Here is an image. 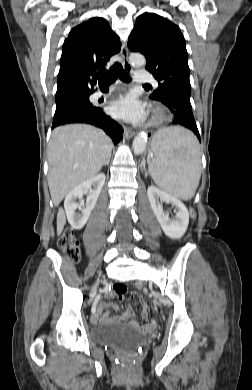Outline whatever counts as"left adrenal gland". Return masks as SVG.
<instances>
[{
  "instance_id": "left-adrenal-gland-1",
  "label": "left adrenal gland",
  "mask_w": 252,
  "mask_h": 390,
  "mask_svg": "<svg viewBox=\"0 0 252 390\" xmlns=\"http://www.w3.org/2000/svg\"><path fill=\"white\" fill-rule=\"evenodd\" d=\"M142 165H143V167H144V170H146V168H145V164H144V163H142ZM146 175H147V171H146Z\"/></svg>"
}]
</instances>
